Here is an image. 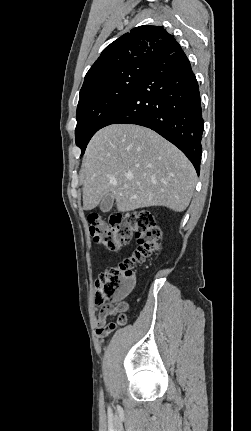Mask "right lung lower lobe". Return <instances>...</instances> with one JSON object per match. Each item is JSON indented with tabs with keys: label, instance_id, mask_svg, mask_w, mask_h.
<instances>
[{
	"label": "right lung lower lobe",
	"instance_id": "obj_1",
	"mask_svg": "<svg viewBox=\"0 0 251 431\" xmlns=\"http://www.w3.org/2000/svg\"><path fill=\"white\" fill-rule=\"evenodd\" d=\"M136 89L104 122L148 127L178 147L200 172L204 127L199 86L182 49L155 54Z\"/></svg>",
	"mask_w": 251,
	"mask_h": 431
}]
</instances>
